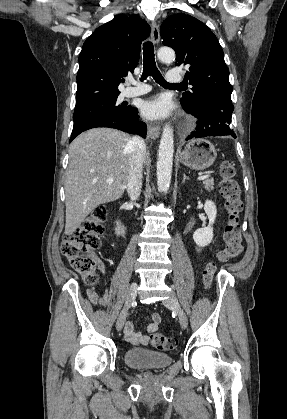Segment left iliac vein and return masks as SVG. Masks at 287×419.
Instances as JSON below:
<instances>
[{"mask_svg": "<svg viewBox=\"0 0 287 419\" xmlns=\"http://www.w3.org/2000/svg\"><path fill=\"white\" fill-rule=\"evenodd\" d=\"M163 304L166 307L172 308L173 310H175L178 314L179 317V322L180 325L182 327V329H185L188 325V318L185 314V312L183 311V309L181 308L177 296L176 294L172 291L169 294V297L163 300Z\"/></svg>", "mask_w": 287, "mask_h": 419, "instance_id": "1", "label": "left iliac vein"}]
</instances>
